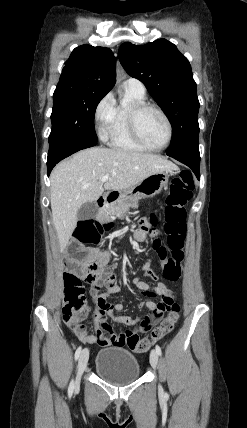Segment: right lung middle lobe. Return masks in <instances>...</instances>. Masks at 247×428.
<instances>
[{
    "label": "right lung middle lobe",
    "mask_w": 247,
    "mask_h": 428,
    "mask_svg": "<svg viewBox=\"0 0 247 428\" xmlns=\"http://www.w3.org/2000/svg\"><path fill=\"white\" fill-rule=\"evenodd\" d=\"M105 95L88 91L54 94L49 144L64 140L97 142L94 116L98 103Z\"/></svg>",
    "instance_id": "dd1d6c3e"
}]
</instances>
